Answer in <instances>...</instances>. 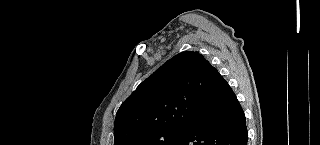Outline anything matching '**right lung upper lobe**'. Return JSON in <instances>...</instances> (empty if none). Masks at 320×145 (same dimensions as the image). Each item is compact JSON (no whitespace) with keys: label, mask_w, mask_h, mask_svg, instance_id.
Wrapping results in <instances>:
<instances>
[{"label":"right lung upper lobe","mask_w":320,"mask_h":145,"mask_svg":"<svg viewBox=\"0 0 320 145\" xmlns=\"http://www.w3.org/2000/svg\"><path fill=\"white\" fill-rule=\"evenodd\" d=\"M223 81L202 54L179 53L121 105L115 119L114 145H131L152 132L185 128L202 120L216 109Z\"/></svg>","instance_id":"obj_1"}]
</instances>
